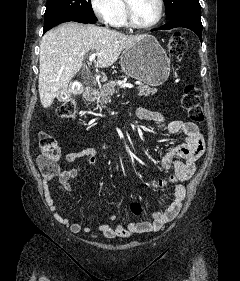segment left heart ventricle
Wrapping results in <instances>:
<instances>
[{"instance_id": "b2bd125f", "label": "left heart ventricle", "mask_w": 240, "mask_h": 281, "mask_svg": "<svg viewBox=\"0 0 240 281\" xmlns=\"http://www.w3.org/2000/svg\"><path fill=\"white\" fill-rule=\"evenodd\" d=\"M134 17L138 23L153 21L158 12L157 0H132Z\"/></svg>"}]
</instances>
